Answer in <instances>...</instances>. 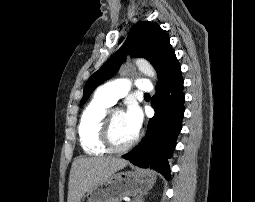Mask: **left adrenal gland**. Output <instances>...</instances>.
<instances>
[{
  "label": "left adrenal gland",
  "mask_w": 255,
  "mask_h": 202,
  "mask_svg": "<svg viewBox=\"0 0 255 202\" xmlns=\"http://www.w3.org/2000/svg\"><path fill=\"white\" fill-rule=\"evenodd\" d=\"M132 202H144L142 195L137 196L136 198H134V200Z\"/></svg>",
  "instance_id": "left-adrenal-gland-1"
}]
</instances>
